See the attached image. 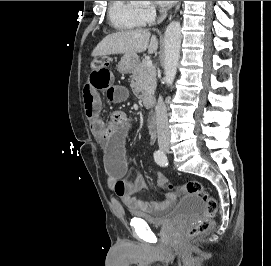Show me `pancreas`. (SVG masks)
Instances as JSON below:
<instances>
[{
    "instance_id": "obj_1",
    "label": "pancreas",
    "mask_w": 271,
    "mask_h": 266,
    "mask_svg": "<svg viewBox=\"0 0 271 266\" xmlns=\"http://www.w3.org/2000/svg\"><path fill=\"white\" fill-rule=\"evenodd\" d=\"M147 60H142L132 71L131 88L133 93L139 98L153 94L156 88L155 67H147Z\"/></svg>"
}]
</instances>
